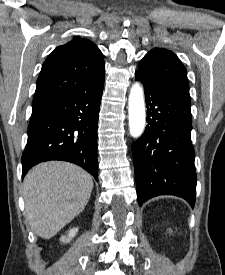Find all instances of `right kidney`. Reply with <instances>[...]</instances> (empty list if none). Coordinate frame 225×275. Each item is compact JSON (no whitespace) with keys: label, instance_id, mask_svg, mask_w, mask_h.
Returning a JSON list of instances; mask_svg holds the SVG:
<instances>
[{"label":"right kidney","instance_id":"right-kidney-1","mask_svg":"<svg viewBox=\"0 0 225 275\" xmlns=\"http://www.w3.org/2000/svg\"><path fill=\"white\" fill-rule=\"evenodd\" d=\"M77 232H78V228H73L69 231L67 237L62 236L60 240L62 242H70V240L76 235Z\"/></svg>","mask_w":225,"mask_h":275}]
</instances>
